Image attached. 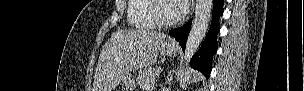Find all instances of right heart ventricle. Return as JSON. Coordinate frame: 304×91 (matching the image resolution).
Instances as JSON below:
<instances>
[{
	"mask_svg": "<svg viewBox=\"0 0 304 91\" xmlns=\"http://www.w3.org/2000/svg\"><path fill=\"white\" fill-rule=\"evenodd\" d=\"M153 0H129L127 9L128 24L136 29H154L156 22L151 14Z\"/></svg>",
	"mask_w": 304,
	"mask_h": 91,
	"instance_id": "right-heart-ventricle-1",
	"label": "right heart ventricle"
}]
</instances>
